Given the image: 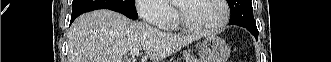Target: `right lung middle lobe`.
Instances as JSON below:
<instances>
[{
  "label": "right lung middle lobe",
  "mask_w": 331,
  "mask_h": 62,
  "mask_svg": "<svg viewBox=\"0 0 331 62\" xmlns=\"http://www.w3.org/2000/svg\"><path fill=\"white\" fill-rule=\"evenodd\" d=\"M97 9H110L131 19L138 18L134 0H73L72 2V15Z\"/></svg>",
  "instance_id": "obj_1"
}]
</instances>
